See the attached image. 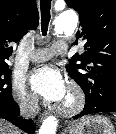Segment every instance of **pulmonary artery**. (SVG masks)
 Listing matches in <instances>:
<instances>
[{
  "label": "pulmonary artery",
  "mask_w": 116,
  "mask_h": 134,
  "mask_svg": "<svg viewBox=\"0 0 116 134\" xmlns=\"http://www.w3.org/2000/svg\"><path fill=\"white\" fill-rule=\"evenodd\" d=\"M67 51V44L64 41H58L51 48L37 49L29 54L28 58L33 62H44L54 55L62 54Z\"/></svg>",
  "instance_id": "obj_1"
}]
</instances>
